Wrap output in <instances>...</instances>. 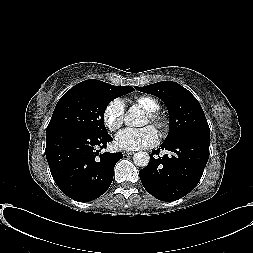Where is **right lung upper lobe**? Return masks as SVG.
<instances>
[{
  "label": "right lung upper lobe",
  "mask_w": 253,
  "mask_h": 253,
  "mask_svg": "<svg viewBox=\"0 0 253 253\" xmlns=\"http://www.w3.org/2000/svg\"><path fill=\"white\" fill-rule=\"evenodd\" d=\"M86 81H99V80H95V79H90V80H86Z\"/></svg>",
  "instance_id": "obj_1"
}]
</instances>
